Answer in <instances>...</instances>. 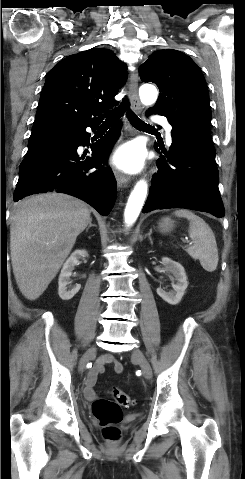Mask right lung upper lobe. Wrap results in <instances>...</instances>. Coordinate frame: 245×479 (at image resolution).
Listing matches in <instances>:
<instances>
[{
	"label": "right lung upper lobe",
	"mask_w": 245,
	"mask_h": 479,
	"mask_svg": "<svg viewBox=\"0 0 245 479\" xmlns=\"http://www.w3.org/2000/svg\"><path fill=\"white\" fill-rule=\"evenodd\" d=\"M126 69L109 49L92 48L62 59L46 77L32 132L103 119L118 103L114 96L127 80Z\"/></svg>",
	"instance_id": "obj_1"
}]
</instances>
